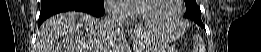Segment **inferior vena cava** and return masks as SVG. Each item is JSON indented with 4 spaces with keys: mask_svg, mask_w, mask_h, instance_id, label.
Segmentation results:
<instances>
[{
    "mask_svg": "<svg viewBox=\"0 0 261 52\" xmlns=\"http://www.w3.org/2000/svg\"><path fill=\"white\" fill-rule=\"evenodd\" d=\"M106 17L104 19L105 25L114 30L117 27L122 26L123 19L119 13V7L116 3H111L105 6Z\"/></svg>",
    "mask_w": 261,
    "mask_h": 52,
    "instance_id": "602c4592",
    "label": "inferior vena cava"
}]
</instances>
